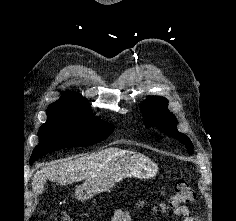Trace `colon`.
Masks as SVG:
<instances>
[{"label": "colon", "mask_w": 236, "mask_h": 221, "mask_svg": "<svg viewBox=\"0 0 236 221\" xmlns=\"http://www.w3.org/2000/svg\"><path fill=\"white\" fill-rule=\"evenodd\" d=\"M196 198L195 190L185 180H178L173 187V192L168 199L166 206L177 209L192 203ZM55 221H74L73 218L65 212L57 214Z\"/></svg>", "instance_id": "5ec220e1"}]
</instances>
